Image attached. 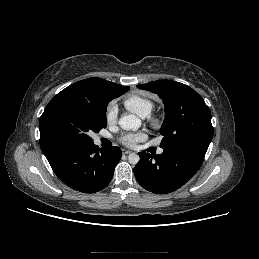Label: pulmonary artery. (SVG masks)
Listing matches in <instances>:
<instances>
[{
    "label": "pulmonary artery",
    "instance_id": "1",
    "mask_svg": "<svg viewBox=\"0 0 259 259\" xmlns=\"http://www.w3.org/2000/svg\"><path fill=\"white\" fill-rule=\"evenodd\" d=\"M163 153V149H158V154H162Z\"/></svg>",
    "mask_w": 259,
    "mask_h": 259
}]
</instances>
